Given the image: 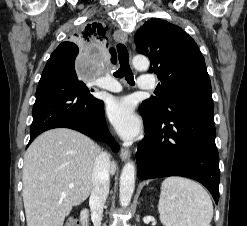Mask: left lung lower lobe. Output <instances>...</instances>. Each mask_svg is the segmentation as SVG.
<instances>
[{"instance_id":"obj_1","label":"left lung lower lobe","mask_w":247,"mask_h":226,"mask_svg":"<svg viewBox=\"0 0 247 226\" xmlns=\"http://www.w3.org/2000/svg\"><path fill=\"white\" fill-rule=\"evenodd\" d=\"M142 117L146 135L137 150L138 178H192L217 204L220 171L212 94L184 95L174 99L164 115L145 112Z\"/></svg>"}]
</instances>
